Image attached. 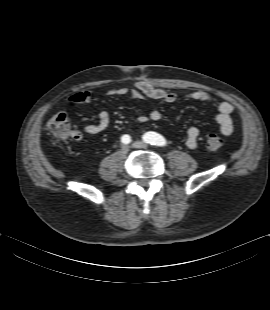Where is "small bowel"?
Segmentation results:
<instances>
[{"label": "small bowel", "mask_w": 270, "mask_h": 310, "mask_svg": "<svg viewBox=\"0 0 270 310\" xmlns=\"http://www.w3.org/2000/svg\"><path fill=\"white\" fill-rule=\"evenodd\" d=\"M106 97H123L129 96L132 99L139 100H153L163 101L165 103H174L178 99V95L174 92H170L164 89L156 88L146 82L139 81L134 84L132 88L119 87L112 88L104 92ZM187 100L200 101V102H212L213 97L204 90H195L188 93L185 96ZM69 100L76 104H90L94 101L93 96L87 90H79L72 93L69 96ZM218 114L216 115V122L220 127V131L223 135L229 136L233 132V119L231 114L234 111V106L227 101H221L217 105ZM162 115L158 109H152L148 114H143L138 117L140 123H146L149 120L159 121ZM111 121V115L108 111L102 110L98 114L96 123L86 124L82 127V131L77 132L76 140L82 139V132L87 134H98L103 132L109 126ZM200 135L199 128L192 126L187 129L186 132V145L190 149H195L198 146V138Z\"/></svg>", "instance_id": "small-bowel-1"}]
</instances>
